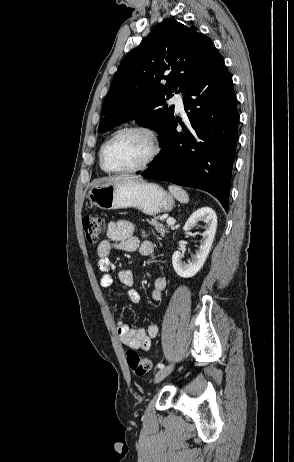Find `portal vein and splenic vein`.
Listing matches in <instances>:
<instances>
[{"instance_id":"18ae733b","label":"portal vein and splenic vein","mask_w":294,"mask_h":462,"mask_svg":"<svg viewBox=\"0 0 294 462\" xmlns=\"http://www.w3.org/2000/svg\"><path fill=\"white\" fill-rule=\"evenodd\" d=\"M166 222L169 226H174L176 223V220L173 218H167Z\"/></svg>"}]
</instances>
